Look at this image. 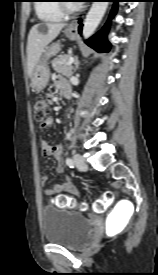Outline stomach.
<instances>
[{
    "mask_svg": "<svg viewBox=\"0 0 158 275\" xmlns=\"http://www.w3.org/2000/svg\"><path fill=\"white\" fill-rule=\"evenodd\" d=\"M66 37L71 40L76 38V32L71 31L70 29H66L64 31ZM61 49V45L59 42L53 43L50 47H48L39 60L37 65L35 66L33 73L31 75V85L36 92L43 90L48 81H49V67H48V60L59 53Z\"/></svg>",
    "mask_w": 158,
    "mask_h": 275,
    "instance_id": "1",
    "label": "stomach"
}]
</instances>
